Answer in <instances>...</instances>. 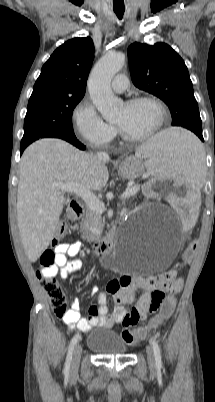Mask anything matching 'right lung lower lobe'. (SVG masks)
<instances>
[{"label": "right lung lower lobe", "mask_w": 215, "mask_h": 402, "mask_svg": "<svg viewBox=\"0 0 215 402\" xmlns=\"http://www.w3.org/2000/svg\"><path fill=\"white\" fill-rule=\"evenodd\" d=\"M64 140L70 142L71 144H73L74 146H76L77 148H79V149H81V150H84V149H85V146H84L83 144H81V143L77 140V138L75 137V135H73V136H71V137H69V138H66V139H64ZM27 146H28V145H21V146H20V153H21V154H22V152L24 151V149H25Z\"/></svg>", "instance_id": "right-lung-lower-lobe-1"}]
</instances>
